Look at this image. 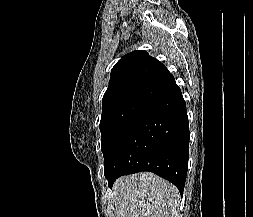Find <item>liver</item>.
<instances>
[{
    "label": "liver",
    "instance_id": "6515ba94",
    "mask_svg": "<svg viewBox=\"0 0 253 217\" xmlns=\"http://www.w3.org/2000/svg\"><path fill=\"white\" fill-rule=\"evenodd\" d=\"M116 217H176L178 189L151 172L119 178L113 185Z\"/></svg>",
    "mask_w": 253,
    "mask_h": 217
}]
</instances>
